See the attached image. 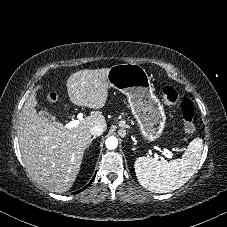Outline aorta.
<instances>
[{
	"instance_id": "obj_1",
	"label": "aorta",
	"mask_w": 227,
	"mask_h": 227,
	"mask_svg": "<svg viewBox=\"0 0 227 227\" xmlns=\"http://www.w3.org/2000/svg\"><path fill=\"white\" fill-rule=\"evenodd\" d=\"M105 145L108 149L113 150L118 146V140L114 136H110L106 139Z\"/></svg>"
}]
</instances>
